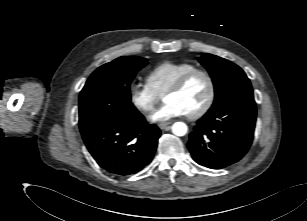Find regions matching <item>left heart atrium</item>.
Segmentation results:
<instances>
[{"label": "left heart atrium", "instance_id": "left-heart-atrium-1", "mask_svg": "<svg viewBox=\"0 0 307 221\" xmlns=\"http://www.w3.org/2000/svg\"><path fill=\"white\" fill-rule=\"evenodd\" d=\"M184 115H186V112L178 103L166 102L150 116V120L152 122H163Z\"/></svg>", "mask_w": 307, "mask_h": 221}]
</instances>
